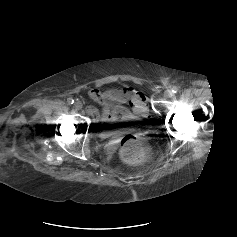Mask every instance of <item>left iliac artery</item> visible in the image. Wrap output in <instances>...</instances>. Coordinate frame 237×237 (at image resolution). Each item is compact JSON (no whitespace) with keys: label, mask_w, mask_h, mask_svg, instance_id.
Wrapping results in <instances>:
<instances>
[{"label":"left iliac artery","mask_w":237,"mask_h":237,"mask_svg":"<svg viewBox=\"0 0 237 237\" xmlns=\"http://www.w3.org/2000/svg\"><path fill=\"white\" fill-rule=\"evenodd\" d=\"M172 92H173V93H177V92H178V87L174 86V87L172 88Z\"/></svg>","instance_id":"left-iliac-artery-1"}]
</instances>
